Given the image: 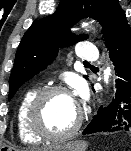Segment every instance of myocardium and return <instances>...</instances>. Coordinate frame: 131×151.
<instances>
[{
	"mask_svg": "<svg viewBox=\"0 0 131 151\" xmlns=\"http://www.w3.org/2000/svg\"><path fill=\"white\" fill-rule=\"evenodd\" d=\"M66 94L72 97L68 88L62 85H52L38 91L32 100L27 114L29 130L42 140L61 141L73 136L81 127L83 122V111L79 108V113L74 124L66 131L61 133H50L42 125V110L46 100L54 94Z\"/></svg>",
	"mask_w": 131,
	"mask_h": 151,
	"instance_id": "myocardium-1",
	"label": "myocardium"
}]
</instances>
